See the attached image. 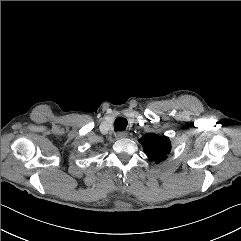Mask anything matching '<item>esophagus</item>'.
<instances>
[{"label":"esophagus","instance_id":"obj_1","mask_svg":"<svg viewBox=\"0 0 241 241\" xmlns=\"http://www.w3.org/2000/svg\"><path fill=\"white\" fill-rule=\"evenodd\" d=\"M127 136V132L126 131H119L117 133V137L118 138H125Z\"/></svg>","mask_w":241,"mask_h":241}]
</instances>
